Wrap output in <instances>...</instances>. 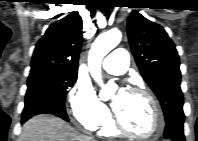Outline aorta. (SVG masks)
<instances>
[{"label": "aorta", "mask_w": 198, "mask_h": 141, "mask_svg": "<svg viewBox=\"0 0 198 141\" xmlns=\"http://www.w3.org/2000/svg\"><path fill=\"white\" fill-rule=\"evenodd\" d=\"M122 33L118 29H112L100 34L93 42L89 51L88 62L90 72L94 80L100 85V99L108 100L116 90L112 82L104 84L101 79V62L103 58L114 49L121 41Z\"/></svg>", "instance_id": "762f6f07"}]
</instances>
